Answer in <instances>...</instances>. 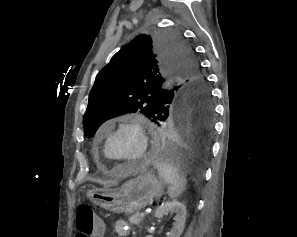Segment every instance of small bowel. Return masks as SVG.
<instances>
[{
	"label": "small bowel",
	"mask_w": 297,
	"mask_h": 237,
	"mask_svg": "<svg viewBox=\"0 0 297 237\" xmlns=\"http://www.w3.org/2000/svg\"><path fill=\"white\" fill-rule=\"evenodd\" d=\"M115 231L120 237H127L129 235V225L124 220L117 221L115 225Z\"/></svg>",
	"instance_id": "c3829d8e"
}]
</instances>
